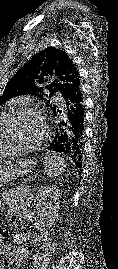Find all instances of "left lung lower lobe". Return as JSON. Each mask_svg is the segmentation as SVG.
<instances>
[{"label": "left lung lower lobe", "instance_id": "left-lung-lower-lobe-1", "mask_svg": "<svg viewBox=\"0 0 118 269\" xmlns=\"http://www.w3.org/2000/svg\"><path fill=\"white\" fill-rule=\"evenodd\" d=\"M53 114L57 118L56 132L47 149L68 155L81 168L84 138V100L81 88L62 97L61 104L54 107Z\"/></svg>", "mask_w": 118, "mask_h": 269}]
</instances>
